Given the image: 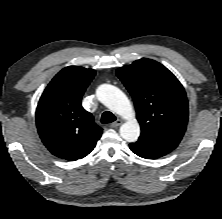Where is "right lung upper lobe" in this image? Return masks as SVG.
<instances>
[{"mask_svg": "<svg viewBox=\"0 0 222 219\" xmlns=\"http://www.w3.org/2000/svg\"><path fill=\"white\" fill-rule=\"evenodd\" d=\"M93 69H62L44 90L36 110V125L44 145L55 156L75 161L87 156L102 135L91 113L81 104Z\"/></svg>", "mask_w": 222, "mask_h": 219, "instance_id": "obj_1", "label": "right lung upper lobe"}]
</instances>
